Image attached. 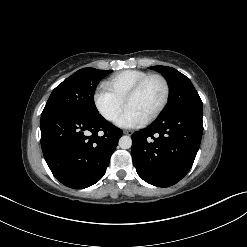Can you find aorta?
<instances>
[{
  "label": "aorta",
  "instance_id": "obj_1",
  "mask_svg": "<svg viewBox=\"0 0 247 247\" xmlns=\"http://www.w3.org/2000/svg\"><path fill=\"white\" fill-rule=\"evenodd\" d=\"M119 146L122 149H129L132 146V139L130 136H122L119 139Z\"/></svg>",
  "mask_w": 247,
  "mask_h": 247
}]
</instances>
